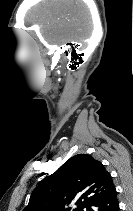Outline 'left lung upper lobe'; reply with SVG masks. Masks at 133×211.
Wrapping results in <instances>:
<instances>
[{
    "instance_id": "left-lung-upper-lobe-1",
    "label": "left lung upper lobe",
    "mask_w": 133,
    "mask_h": 211,
    "mask_svg": "<svg viewBox=\"0 0 133 211\" xmlns=\"http://www.w3.org/2000/svg\"><path fill=\"white\" fill-rule=\"evenodd\" d=\"M113 187L101 162L78 154L34 189L24 211H91ZM70 204L73 207L66 208Z\"/></svg>"
}]
</instances>
